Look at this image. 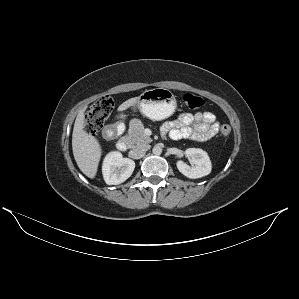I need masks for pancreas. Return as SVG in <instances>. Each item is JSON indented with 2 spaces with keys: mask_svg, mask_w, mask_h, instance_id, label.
Here are the masks:
<instances>
[{
  "mask_svg": "<svg viewBox=\"0 0 299 299\" xmlns=\"http://www.w3.org/2000/svg\"><path fill=\"white\" fill-rule=\"evenodd\" d=\"M128 139L132 144H148L152 142L151 137L144 134V126L142 123H130Z\"/></svg>",
  "mask_w": 299,
  "mask_h": 299,
  "instance_id": "cf45deb5",
  "label": "pancreas"
}]
</instances>
